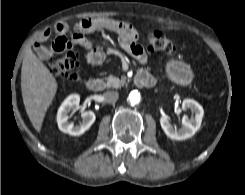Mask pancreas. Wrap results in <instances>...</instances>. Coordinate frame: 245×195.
Here are the masks:
<instances>
[{
  "mask_svg": "<svg viewBox=\"0 0 245 195\" xmlns=\"http://www.w3.org/2000/svg\"><path fill=\"white\" fill-rule=\"evenodd\" d=\"M126 82V77H122L121 79L114 77V76H108L106 78V86L107 87H114L118 88L121 87L125 84Z\"/></svg>",
  "mask_w": 245,
  "mask_h": 195,
  "instance_id": "cf45deb5",
  "label": "pancreas"
}]
</instances>
